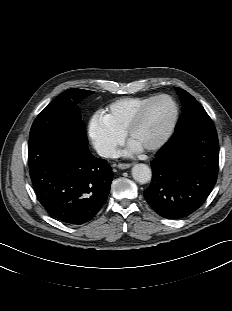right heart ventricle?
Here are the masks:
<instances>
[{
  "label": "right heart ventricle",
  "mask_w": 232,
  "mask_h": 311,
  "mask_svg": "<svg viewBox=\"0 0 232 311\" xmlns=\"http://www.w3.org/2000/svg\"><path fill=\"white\" fill-rule=\"evenodd\" d=\"M153 96H128L110 102L105 109L107 123L123 134L136 111Z\"/></svg>",
  "instance_id": "1"
}]
</instances>
